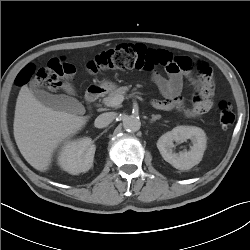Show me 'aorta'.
<instances>
[{
	"label": "aorta",
	"instance_id": "762f6f07",
	"mask_svg": "<svg viewBox=\"0 0 250 250\" xmlns=\"http://www.w3.org/2000/svg\"><path fill=\"white\" fill-rule=\"evenodd\" d=\"M123 127L127 131L136 132L140 129L141 122L138 117L130 115L123 119Z\"/></svg>",
	"mask_w": 250,
	"mask_h": 250
}]
</instances>
